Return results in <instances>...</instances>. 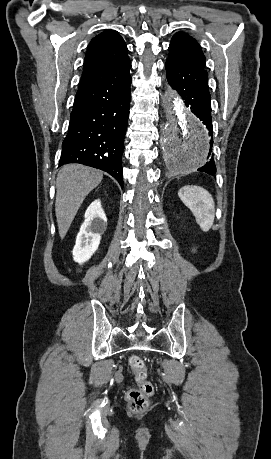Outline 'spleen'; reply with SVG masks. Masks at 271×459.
<instances>
[{"instance_id":"spleen-1","label":"spleen","mask_w":271,"mask_h":459,"mask_svg":"<svg viewBox=\"0 0 271 459\" xmlns=\"http://www.w3.org/2000/svg\"><path fill=\"white\" fill-rule=\"evenodd\" d=\"M188 188H192L191 194L183 198L182 202L193 212L200 228L203 231H209L215 218L214 200L211 194L203 188H198V186H188Z\"/></svg>"}]
</instances>
